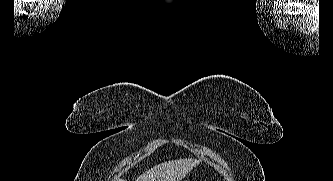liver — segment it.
I'll return each instance as SVG.
<instances>
[{"instance_id": "obj_1", "label": "liver", "mask_w": 333, "mask_h": 181, "mask_svg": "<svg viewBox=\"0 0 333 181\" xmlns=\"http://www.w3.org/2000/svg\"><path fill=\"white\" fill-rule=\"evenodd\" d=\"M198 164L199 161L190 158L163 162L144 172L136 181H181Z\"/></svg>"}]
</instances>
